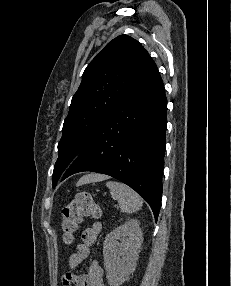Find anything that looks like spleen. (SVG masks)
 Returning <instances> with one entry per match:
<instances>
[{"mask_svg": "<svg viewBox=\"0 0 231 286\" xmlns=\"http://www.w3.org/2000/svg\"><path fill=\"white\" fill-rule=\"evenodd\" d=\"M106 186L112 198L118 201L122 211L134 213L142 207L141 197L129 186L117 181H107Z\"/></svg>", "mask_w": 231, "mask_h": 286, "instance_id": "obj_1", "label": "spleen"}]
</instances>
